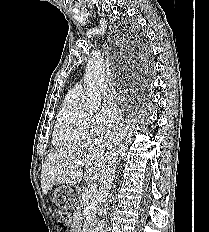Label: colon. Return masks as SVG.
I'll use <instances>...</instances> for the list:
<instances>
[{"label": "colon", "mask_w": 209, "mask_h": 232, "mask_svg": "<svg viewBox=\"0 0 209 232\" xmlns=\"http://www.w3.org/2000/svg\"><path fill=\"white\" fill-rule=\"evenodd\" d=\"M61 218H62V221L65 222V223H68L70 221V214L69 212H61Z\"/></svg>", "instance_id": "1"}]
</instances>
